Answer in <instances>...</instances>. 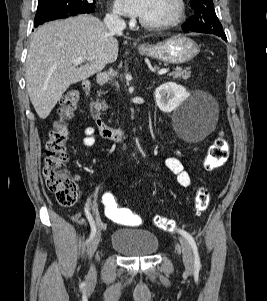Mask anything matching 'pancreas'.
I'll return each instance as SVG.
<instances>
[{
    "label": "pancreas",
    "mask_w": 267,
    "mask_h": 301,
    "mask_svg": "<svg viewBox=\"0 0 267 301\" xmlns=\"http://www.w3.org/2000/svg\"><path fill=\"white\" fill-rule=\"evenodd\" d=\"M190 74L191 72L188 71V69H182L181 67H177L173 70V72L171 73V76L175 79L180 78V79H184L187 80L188 78H190ZM100 95V94H99ZM101 109H106L108 106L106 105L105 101L102 102H98L96 103Z\"/></svg>",
    "instance_id": "1"
}]
</instances>
